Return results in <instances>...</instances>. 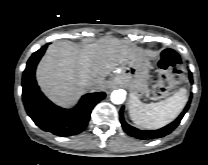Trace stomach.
Listing matches in <instances>:
<instances>
[{
    "label": "stomach",
    "mask_w": 208,
    "mask_h": 165,
    "mask_svg": "<svg viewBox=\"0 0 208 165\" xmlns=\"http://www.w3.org/2000/svg\"><path fill=\"white\" fill-rule=\"evenodd\" d=\"M129 66L116 75L111 81L113 85L125 86L130 90V95L140 98L149 93V69L148 58L138 53L128 62Z\"/></svg>",
    "instance_id": "stomach-1"
}]
</instances>
